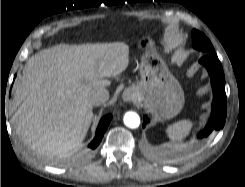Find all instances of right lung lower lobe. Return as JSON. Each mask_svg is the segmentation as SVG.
Instances as JSON below:
<instances>
[{
	"label": "right lung lower lobe",
	"instance_id": "obj_1",
	"mask_svg": "<svg viewBox=\"0 0 245 187\" xmlns=\"http://www.w3.org/2000/svg\"><path fill=\"white\" fill-rule=\"evenodd\" d=\"M112 116L111 115H107L105 117H103L97 127V131H96V135L94 140L89 144V148L91 149H95L99 143L101 142L104 133L111 121Z\"/></svg>",
	"mask_w": 245,
	"mask_h": 187
}]
</instances>
